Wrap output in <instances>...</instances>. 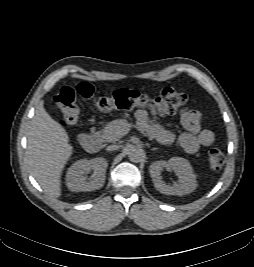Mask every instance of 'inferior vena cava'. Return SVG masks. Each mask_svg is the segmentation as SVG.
<instances>
[{
    "label": "inferior vena cava",
    "mask_w": 254,
    "mask_h": 267,
    "mask_svg": "<svg viewBox=\"0 0 254 267\" xmlns=\"http://www.w3.org/2000/svg\"><path fill=\"white\" fill-rule=\"evenodd\" d=\"M118 146L117 145H110L106 148L107 151H114L117 150Z\"/></svg>",
    "instance_id": "obj_1"
}]
</instances>
